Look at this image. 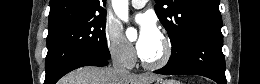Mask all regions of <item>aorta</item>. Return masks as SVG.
I'll return each mask as SVG.
<instances>
[{"label": "aorta", "mask_w": 260, "mask_h": 84, "mask_svg": "<svg viewBox=\"0 0 260 84\" xmlns=\"http://www.w3.org/2000/svg\"><path fill=\"white\" fill-rule=\"evenodd\" d=\"M112 6L115 14L123 21L128 20V0H112ZM126 35L129 39H133L137 36L136 30L128 28Z\"/></svg>", "instance_id": "762f6f07"}]
</instances>
